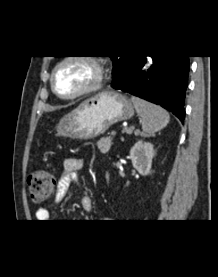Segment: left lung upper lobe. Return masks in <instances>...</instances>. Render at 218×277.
<instances>
[{
  "label": "left lung upper lobe",
  "instance_id": "1",
  "mask_svg": "<svg viewBox=\"0 0 218 277\" xmlns=\"http://www.w3.org/2000/svg\"><path fill=\"white\" fill-rule=\"evenodd\" d=\"M113 60V76L123 71L132 56H110Z\"/></svg>",
  "mask_w": 218,
  "mask_h": 277
}]
</instances>
